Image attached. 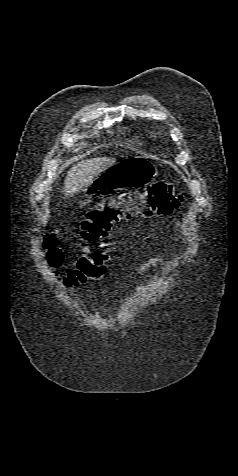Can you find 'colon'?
I'll use <instances>...</instances> for the list:
<instances>
[{
    "label": "colon",
    "mask_w": 238,
    "mask_h": 476,
    "mask_svg": "<svg viewBox=\"0 0 238 476\" xmlns=\"http://www.w3.org/2000/svg\"><path fill=\"white\" fill-rule=\"evenodd\" d=\"M184 200L185 196L176 191L171 183L157 182L91 208L81 224L83 253L76 265L64 275V283L78 286L104 274L109 259V236L116 224L134 218L168 215ZM44 248L49 264L61 265L63 253L54 235L45 237Z\"/></svg>",
    "instance_id": "colon-1"
}]
</instances>
